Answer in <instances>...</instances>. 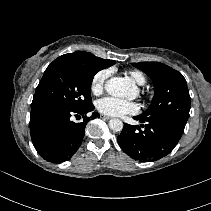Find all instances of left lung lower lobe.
I'll return each instance as SVG.
<instances>
[{
	"label": "left lung lower lobe",
	"instance_id": "obj_1",
	"mask_svg": "<svg viewBox=\"0 0 211 211\" xmlns=\"http://www.w3.org/2000/svg\"><path fill=\"white\" fill-rule=\"evenodd\" d=\"M145 125L124 124L117 137L119 146L134 159L150 162L168 155L179 142L184 127L165 117H134Z\"/></svg>",
	"mask_w": 211,
	"mask_h": 211
}]
</instances>
